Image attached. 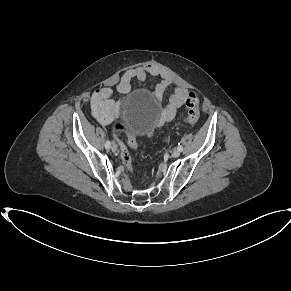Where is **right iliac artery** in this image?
<instances>
[{"label":"right iliac artery","instance_id":"1","mask_svg":"<svg viewBox=\"0 0 291 291\" xmlns=\"http://www.w3.org/2000/svg\"><path fill=\"white\" fill-rule=\"evenodd\" d=\"M105 147H106V149H109L110 148V141L109 140L106 141Z\"/></svg>","mask_w":291,"mask_h":291}]
</instances>
